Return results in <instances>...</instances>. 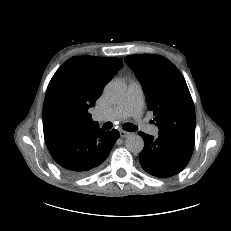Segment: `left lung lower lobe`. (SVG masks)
<instances>
[{
	"instance_id": "obj_1",
	"label": "left lung lower lobe",
	"mask_w": 231,
	"mask_h": 231,
	"mask_svg": "<svg viewBox=\"0 0 231 231\" xmlns=\"http://www.w3.org/2000/svg\"><path fill=\"white\" fill-rule=\"evenodd\" d=\"M139 135L144 140L140 164L155 177L168 178L178 174L192 156L194 140L168 134H159L157 138L143 132Z\"/></svg>"
}]
</instances>
